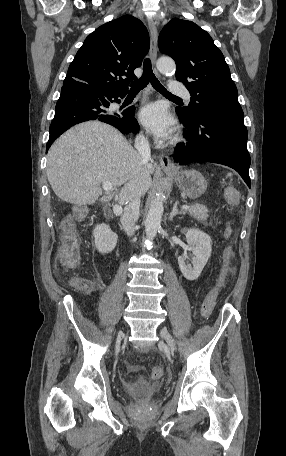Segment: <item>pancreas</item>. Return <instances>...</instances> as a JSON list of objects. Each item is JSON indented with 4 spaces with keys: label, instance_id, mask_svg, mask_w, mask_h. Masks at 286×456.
<instances>
[{
    "label": "pancreas",
    "instance_id": "pancreas-1",
    "mask_svg": "<svg viewBox=\"0 0 286 456\" xmlns=\"http://www.w3.org/2000/svg\"><path fill=\"white\" fill-rule=\"evenodd\" d=\"M188 214L195 218L198 221H206L208 218L209 210L205 205L196 204L191 205L189 209L186 210Z\"/></svg>",
    "mask_w": 286,
    "mask_h": 456
}]
</instances>
